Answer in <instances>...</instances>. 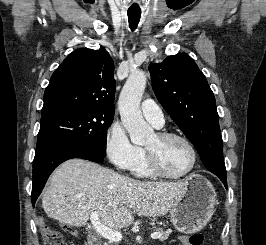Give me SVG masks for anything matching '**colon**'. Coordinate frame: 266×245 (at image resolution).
Wrapping results in <instances>:
<instances>
[{
    "mask_svg": "<svg viewBox=\"0 0 266 245\" xmlns=\"http://www.w3.org/2000/svg\"><path fill=\"white\" fill-rule=\"evenodd\" d=\"M42 234L46 241V245H67L60 234L55 232L47 225L41 227ZM204 236L200 232H194L187 238V245H203Z\"/></svg>",
    "mask_w": 266,
    "mask_h": 245,
    "instance_id": "obj_1",
    "label": "colon"
}]
</instances>
